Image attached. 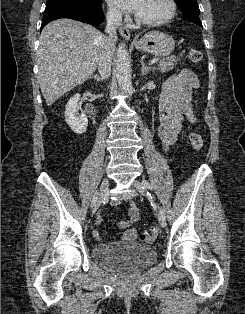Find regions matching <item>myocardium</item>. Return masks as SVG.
Masks as SVG:
<instances>
[{"mask_svg": "<svg viewBox=\"0 0 245 314\" xmlns=\"http://www.w3.org/2000/svg\"><path fill=\"white\" fill-rule=\"evenodd\" d=\"M166 2L168 4V11L165 15H163L157 19H153V20H144V19H141L137 16L136 17L137 24L142 25V26L154 27V26H158V25L167 23L168 21L173 19L175 14H176V11H177L176 1L175 0H166Z\"/></svg>", "mask_w": 245, "mask_h": 314, "instance_id": "1", "label": "myocardium"}]
</instances>
